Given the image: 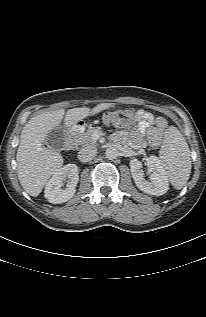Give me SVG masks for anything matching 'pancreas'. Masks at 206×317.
<instances>
[{"label":"pancreas","mask_w":206,"mask_h":317,"mask_svg":"<svg viewBox=\"0 0 206 317\" xmlns=\"http://www.w3.org/2000/svg\"><path fill=\"white\" fill-rule=\"evenodd\" d=\"M98 131V128L90 127L86 132H73V142L76 145L96 146V140L93 139V134Z\"/></svg>","instance_id":"cf45deb5"}]
</instances>
